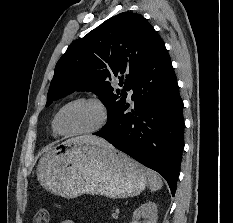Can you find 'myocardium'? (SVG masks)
Listing matches in <instances>:
<instances>
[{
    "label": "myocardium",
    "mask_w": 233,
    "mask_h": 223,
    "mask_svg": "<svg viewBox=\"0 0 233 223\" xmlns=\"http://www.w3.org/2000/svg\"><path fill=\"white\" fill-rule=\"evenodd\" d=\"M77 102H89V103L95 104L99 108L101 115H102V121H101L100 125L93 130L85 131V132L66 133V132L61 131L59 129V118H60L62 112L68 106H70L74 103H77ZM109 118H110V116H109L108 109H107L105 103L100 98L94 97V96H81V97H77V98H74V99L68 101L57 111V113L54 116L53 122H52V128H53V131L59 136H65V137L90 136V135H94L96 133L101 132L107 126V124L109 122Z\"/></svg>",
    "instance_id": "myocardium-1"
}]
</instances>
